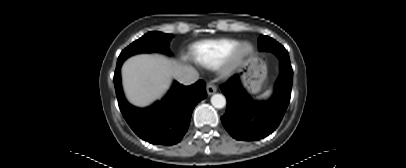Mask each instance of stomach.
Here are the masks:
<instances>
[{"instance_id": "stomach-1", "label": "stomach", "mask_w": 406, "mask_h": 168, "mask_svg": "<svg viewBox=\"0 0 406 168\" xmlns=\"http://www.w3.org/2000/svg\"><path fill=\"white\" fill-rule=\"evenodd\" d=\"M245 72L242 75L243 86L252 94L261 91L267 76L265 62L259 57H252L244 65Z\"/></svg>"}]
</instances>
